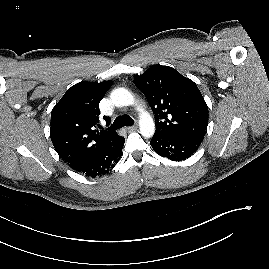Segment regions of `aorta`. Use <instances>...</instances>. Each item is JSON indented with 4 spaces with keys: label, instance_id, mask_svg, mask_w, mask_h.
Listing matches in <instances>:
<instances>
[{
    "label": "aorta",
    "instance_id": "1",
    "mask_svg": "<svg viewBox=\"0 0 269 269\" xmlns=\"http://www.w3.org/2000/svg\"><path fill=\"white\" fill-rule=\"evenodd\" d=\"M111 101L116 106H129L134 104L133 95L125 88H117L111 92ZM140 133L143 137L149 138L155 132V124L149 113L141 111L139 120Z\"/></svg>",
    "mask_w": 269,
    "mask_h": 269
}]
</instances>
